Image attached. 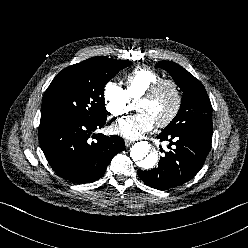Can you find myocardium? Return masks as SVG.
<instances>
[{
    "mask_svg": "<svg viewBox=\"0 0 248 248\" xmlns=\"http://www.w3.org/2000/svg\"><path fill=\"white\" fill-rule=\"evenodd\" d=\"M166 85H169L172 87L176 100H175V105L172 111L170 112V114L165 119L155 124L156 127L158 128L166 127L170 123H172L175 120V118L178 116L182 108L183 96H182V91L178 83L172 79L163 78L157 81L156 83H154L138 100V102H140V101L150 100L154 98L159 93V91Z\"/></svg>",
    "mask_w": 248,
    "mask_h": 248,
    "instance_id": "myocardium-1",
    "label": "myocardium"
}]
</instances>
